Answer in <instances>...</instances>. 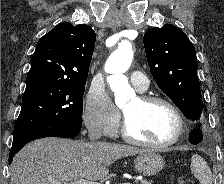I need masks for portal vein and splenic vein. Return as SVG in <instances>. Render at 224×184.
Masks as SVG:
<instances>
[{"instance_id":"1","label":"portal vein and splenic vein","mask_w":224,"mask_h":184,"mask_svg":"<svg viewBox=\"0 0 224 184\" xmlns=\"http://www.w3.org/2000/svg\"><path fill=\"white\" fill-rule=\"evenodd\" d=\"M54 184H99V183L92 182V181H87V180H84V179H79V180H76V181H73V182H70V183L55 182ZM122 184H131V183L126 182V183H122Z\"/></svg>"}]
</instances>
